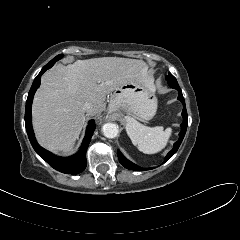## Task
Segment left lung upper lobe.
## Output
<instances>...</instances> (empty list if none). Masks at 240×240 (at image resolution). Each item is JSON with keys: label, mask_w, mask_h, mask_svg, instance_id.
<instances>
[{"label": "left lung upper lobe", "mask_w": 240, "mask_h": 240, "mask_svg": "<svg viewBox=\"0 0 240 240\" xmlns=\"http://www.w3.org/2000/svg\"><path fill=\"white\" fill-rule=\"evenodd\" d=\"M167 77H170V78H174V79H175V77H174L171 73H169V75H168Z\"/></svg>", "instance_id": "1"}]
</instances>
